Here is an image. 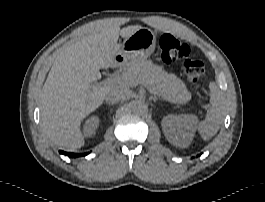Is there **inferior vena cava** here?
Masks as SVG:
<instances>
[{
  "instance_id": "1",
  "label": "inferior vena cava",
  "mask_w": 265,
  "mask_h": 202,
  "mask_svg": "<svg viewBox=\"0 0 265 202\" xmlns=\"http://www.w3.org/2000/svg\"><path fill=\"white\" fill-rule=\"evenodd\" d=\"M129 97V90L121 86H112L108 89L105 100L109 103H118Z\"/></svg>"
}]
</instances>
